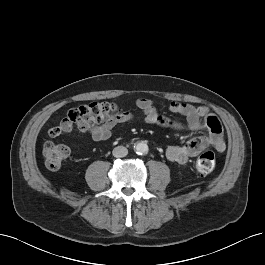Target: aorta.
<instances>
[{"label":"aorta","instance_id":"aorta-1","mask_svg":"<svg viewBox=\"0 0 265 265\" xmlns=\"http://www.w3.org/2000/svg\"><path fill=\"white\" fill-rule=\"evenodd\" d=\"M135 151L137 154H146L148 152V145L141 141L135 145Z\"/></svg>","mask_w":265,"mask_h":265}]
</instances>
